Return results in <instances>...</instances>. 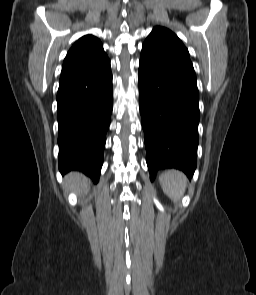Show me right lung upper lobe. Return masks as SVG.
Returning <instances> with one entry per match:
<instances>
[{
	"instance_id": "obj_1",
	"label": "right lung upper lobe",
	"mask_w": 256,
	"mask_h": 295,
	"mask_svg": "<svg viewBox=\"0 0 256 295\" xmlns=\"http://www.w3.org/2000/svg\"><path fill=\"white\" fill-rule=\"evenodd\" d=\"M108 59L102 43L92 35L81 37L67 53L62 73L65 74Z\"/></svg>"
}]
</instances>
